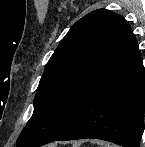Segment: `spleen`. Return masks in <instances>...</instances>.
Masks as SVG:
<instances>
[{
	"label": "spleen",
	"instance_id": "spleen-1",
	"mask_svg": "<svg viewBox=\"0 0 145 147\" xmlns=\"http://www.w3.org/2000/svg\"><path fill=\"white\" fill-rule=\"evenodd\" d=\"M104 147H112V146H109V145H108V146H106V145H104Z\"/></svg>",
	"mask_w": 145,
	"mask_h": 147
}]
</instances>
